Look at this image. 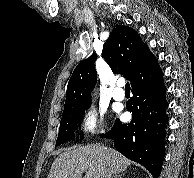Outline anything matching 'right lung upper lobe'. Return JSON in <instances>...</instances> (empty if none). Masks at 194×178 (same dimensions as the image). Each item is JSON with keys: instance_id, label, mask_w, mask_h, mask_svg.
I'll list each match as a JSON object with an SVG mask.
<instances>
[{"instance_id": "right-lung-upper-lobe-1", "label": "right lung upper lobe", "mask_w": 194, "mask_h": 178, "mask_svg": "<svg viewBox=\"0 0 194 178\" xmlns=\"http://www.w3.org/2000/svg\"><path fill=\"white\" fill-rule=\"evenodd\" d=\"M102 55L112 71L130 80L132 87L160 71L157 60L139 34L127 26L115 27L105 44ZM96 53L74 69L68 82L63 113L91 104V91L96 84L94 62Z\"/></svg>"}]
</instances>
